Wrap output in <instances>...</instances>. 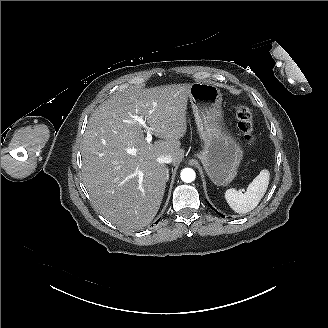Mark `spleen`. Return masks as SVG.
<instances>
[{"label":"spleen","instance_id":"3e777b00","mask_svg":"<svg viewBox=\"0 0 328 328\" xmlns=\"http://www.w3.org/2000/svg\"><path fill=\"white\" fill-rule=\"evenodd\" d=\"M269 184V171L263 169L248 185L245 193L235 189L225 192V200L236 213H247L253 210L264 196Z\"/></svg>","mask_w":328,"mask_h":328}]
</instances>
